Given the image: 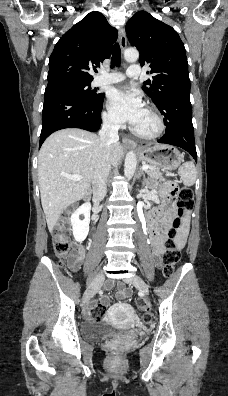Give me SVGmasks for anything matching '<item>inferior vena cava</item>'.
I'll return each mask as SVG.
<instances>
[{
    "label": "inferior vena cava",
    "instance_id": "1",
    "mask_svg": "<svg viewBox=\"0 0 228 396\" xmlns=\"http://www.w3.org/2000/svg\"><path fill=\"white\" fill-rule=\"evenodd\" d=\"M118 130L119 125L115 121L110 119L103 120L102 128L99 131V140L103 148L92 181V191L95 199H102L106 195L107 178L111 169L109 148L112 144L118 142Z\"/></svg>",
    "mask_w": 228,
    "mask_h": 396
}]
</instances>
